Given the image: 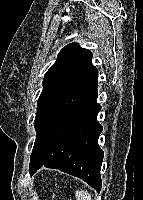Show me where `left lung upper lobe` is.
Instances as JSON below:
<instances>
[{
	"label": "left lung upper lobe",
	"instance_id": "left-lung-upper-lobe-1",
	"mask_svg": "<svg viewBox=\"0 0 143 200\" xmlns=\"http://www.w3.org/2000/svg\"><path fill=\"white\" fill-rule=\"evenodd\" d=\"M91 51L77 43L65 46L43 79V90L37 102V113L42 107L69 85L81 70L91 62ZM37 115V114H36Z\"/></svg>",
	"mask_w": 143,
	"mask_h": 200
}]
</instances>
